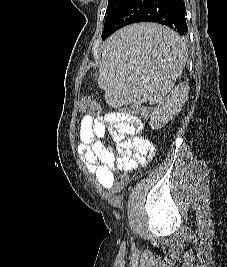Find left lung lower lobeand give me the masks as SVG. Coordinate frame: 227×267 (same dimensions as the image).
<instances>
[{
	"instance_id": "0a47b994",
	"label": "left lung lower lobe",
	"mask_w": 227,
	"mask_h": 267,
	"mask_svg": "<svg viewBox=\"0 0 227 267\" xmlns=\"http://www.w3.org/2000/svg\"><path fill=\"white\" fill-rule=\"evenodd\" d=\"M184 0H128L104 25L105 40L118 29L136 22H157L185 36L188 32ZM167 45L164 39L142 37L134 41V48L151 49Z\"/></svg>"
}]
</instances>
